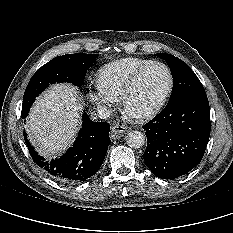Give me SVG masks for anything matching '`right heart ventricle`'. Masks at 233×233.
<instances>
[{"label": "right heart ventricle", "instance_id": "right-heart-ventricle-1", "mask_svg": "<svg viewBox=\"0 0 233 233\" xmlns=\"http://www.w3.org/2000/svg\"><path fill=\"white\" fill-rule=\"evenodd\" d=\"M152 60L127 57L103 65L98 72L99 84L110 94L119 98L132 75Z\"/></svg>", "mask_w": 233, "mask_h": 233}]
</instances>
